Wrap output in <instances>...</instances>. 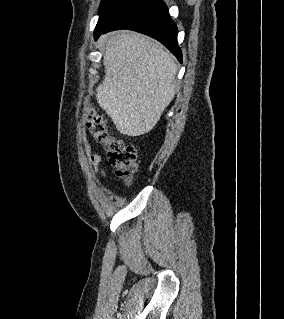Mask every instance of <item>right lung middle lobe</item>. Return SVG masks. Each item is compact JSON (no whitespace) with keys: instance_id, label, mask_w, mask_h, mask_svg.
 I'll list each match as a JSON object with an SVG mask.
<instances>
[{"instance_id":"1","label":"right lung middle lobe","mask_w":284,"mask_h":319,"mask_svg":"<svg viewBox=\"0 0 284 319\" xmlns=\"http://www.w3.org/2000/svg\"><path fill=\"white\" fill-rule=\"evenodd\" d=\"M137 0H102L99 8V20L95 31L106 27L118 15L127 10Z\"/></svg>"}]
</instances>
